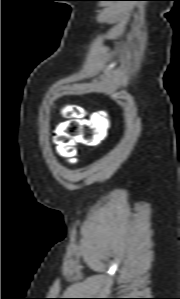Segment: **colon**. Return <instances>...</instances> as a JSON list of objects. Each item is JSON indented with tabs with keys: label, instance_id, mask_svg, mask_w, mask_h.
I'll return each instance as SVG.
<instances>
[{
	"label": "colon",
	"instance_id": "5ec220e1",
	"mask_svg": "<svg viewBox=\"0 0 180 299\" xmlns=\"http://www.w3.org/2000/svg\"><path fill=\"white\" fill-rule=\"evenodd\" d=\"M70 112L75 113L76 116L59 124L54 132L56 150L58 154L63 157L74 156V145L77 141L89 145L102 142L109 129V121L106 118H102L96 124L92 121H89L88 124H84L82 109L72 107Z\"/></svg>",
	"mask_w": 180,
	"mask_h": 299
}]
</instances>
